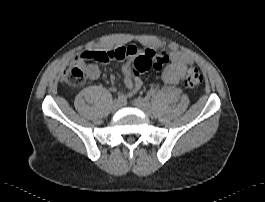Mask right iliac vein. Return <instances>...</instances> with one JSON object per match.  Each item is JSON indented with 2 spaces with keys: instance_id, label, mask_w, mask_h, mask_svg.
Returning <instances> with one entry per match:
<instances>
[{
  "instance_id": "63e3f726",
  "label": "right iliac vein",
  "mask_w": 265,
  "mask_h": 202,
  "mask_svg": "<svg viewBox=\"0 0 265 202\" xmlns=\"http://www.w3.org/2000/svg\"><path fill=\"white\" fill-rule=\"evenodd\" d=\"M120 107H121L120 102L117 101V100H115V101L113 102V104H112L111 109H112L113 112H117V111L119 110Z\"/></svg>"
}]
</instances>
